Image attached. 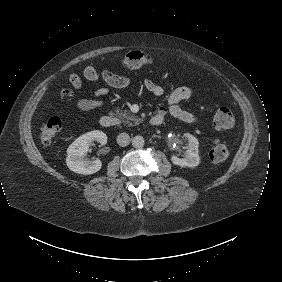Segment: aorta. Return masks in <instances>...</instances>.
Here are the masks:
<instances>
[{"mask_svg": "<svg viewBox=\"0 0 282 282\" xmlns=\"http://www.w3.org/2000/svg\"><path fill=\"white\" fill-rule=\"evenodd\" d=\"M145 144L144 137L141 135H136L132 138V146L134 148H142Z\"/></svg>", "mask_w": 282, "mask_h": 282, "instance_id": "1", "label": "aorta"}]
</instances>
